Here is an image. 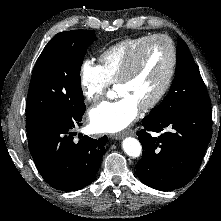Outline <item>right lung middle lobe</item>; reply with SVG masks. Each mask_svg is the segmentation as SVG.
<instances>
[{"label":"right lung middle lobe","instance_id":"right-lung-middle-lobe-1","mask_svg":"<svg viewBox=\"0 0 221 221\" xmlns=\"http://www.w3.org/2000/svg\"><path fill=\"white\" fill-rule=\"evenodd\" d=\"M92 30L56 34L45 46L32 72L26 102V131L31 136L50 117L84 111L80 69Z\"/></svg>","mask_w":221,"mask_h":221}]
</instances>
